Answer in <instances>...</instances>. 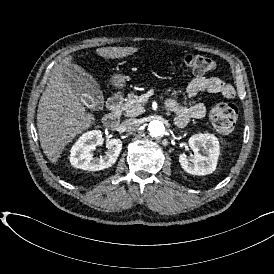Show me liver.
Wrapping results in <instances>:
<instances>
[{
    "label": "liver",
    "mask_w": 274,
    "mask_h": 274,
    "mask_svg": "<svg viewBox=\"0 0 274 274\" xmlns=\"http://www.w3.org/2000/svg\"><path fill=\"white\" fill-rule=\"evenodd\" d=\"M139 51L138 47H100L95 53L105 59H119ZM69 54L53 70L37 111V128L41 148L54 165L76 137L96 126V115L87 112L86 104L74 94L72 77L84 71Z\"/></svg>",
    "instance_id": "obj_1"
}]
</instances>
